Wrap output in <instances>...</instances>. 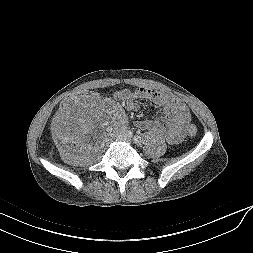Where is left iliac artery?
I'll use <instances>...</instances> for the list:
<instances>
[{
    "label": "left iliac artery",
    "instance_id": "obj_1",
    "mask_svg": "<svg viewBox=\"0 0 253 253\" xmlns=\"http://www.w3.org/2000/svg\"><path fill=\"white\" fill-rule=\"evenodd\" d=\"M133 141H134L136 144H138V145H140V144L142 143V139H141V137L138 136V135H136V136L133 137Z\"/></svg>",
    "mask_w": 253,
    "mask_h": 253
}]
</instances>
